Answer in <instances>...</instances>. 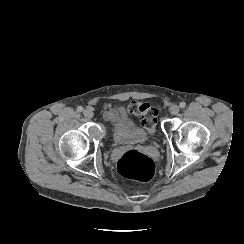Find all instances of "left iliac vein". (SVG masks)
<instances>
[{"label": "left iliac vein", "mask_w": 244, "mask_h": 244, "mask_svg": "<svg viewBox=\"0 0 244 244\" xmlns=\"http://www.w3.org/2000/svg\"><path fill=\"white\" fill-rule=\"evenodd\" d=\"M170 113H171L172 115H176V114H178V113H179V106H177V105H172V106L170 107Z\"/></svg>", "instance_id": "4c4485c4"}]
</instances>
